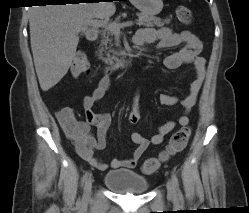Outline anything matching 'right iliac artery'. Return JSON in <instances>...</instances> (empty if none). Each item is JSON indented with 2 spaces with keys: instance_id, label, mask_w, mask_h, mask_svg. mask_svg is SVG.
Instances as JSON below:
<instances>
[{
  "instance_id": "right-iliac-artery-1",
  "label": "right iliac artery",
  "mask_w": 249,
  "mask_h": 213,
  "mask_svg": "<svg viewBox=\"0 0 249 213\" xmlns=\"http://www.w3.org/2000/svg\"><path fill=\"white\" fill-rule=\"evenodd\" d=\"M88 176H90V172H86V173L84 174V176H83V178H82V182H83V183L87 180Z\"/></svg>"
}]
</instances>
